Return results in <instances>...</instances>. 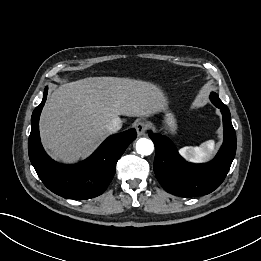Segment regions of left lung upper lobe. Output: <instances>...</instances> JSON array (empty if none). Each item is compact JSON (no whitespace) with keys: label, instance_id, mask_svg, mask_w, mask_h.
<instances>
[{"label":"left lung upper lobe","instance_id":"obj_1","mask_svg":"<svg viewBox=\"0 0 261 261\" xmlns=\"http://www.w3.org/2000/svg\"><path fill=\"white\" fill-rule=\"evenodd\" d=\"M210 100L214 105H223L222 101L219 99L218 95L215 92L210 94Z\"/></svg>","mask_w":261,"mask_h":261}]
</instances>
